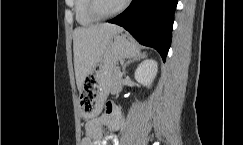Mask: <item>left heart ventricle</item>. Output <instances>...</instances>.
<instances>
[{
    "mask_svg": "<svg viewBox=\"0 0 243 145\" xmlns=\"http://www.w3.org/2000/svg\"><path fill=\"white\" fill-rule=\"evenodd\" d=\"M124 0H99L100 9L104 13H110L118 9Z\"/></svg>",
    "mask_w": 243,
    "mask_h": 145,
    "instance_id": "left-heart-ventricle-1",
    "label": "left heart ventricle"
}]
</instances>
